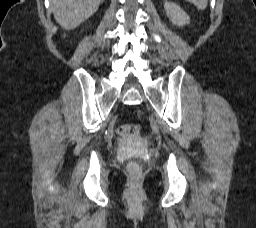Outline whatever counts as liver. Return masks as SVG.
Segmentation results:
<instances>
[{"label":"liver","mask_w":256,"mask_h":228,"mask_svg":"<svg viewBox=\"0 0 256 228\" xmlns=\"http://www.w3.org/2000/svg\"><path fill=\"white\" fill-rule=\"evenodd\" d=\"M103 0H51L57 23L72 30L91 17Z\"/></svg>","instance_id":"liver-1"}]
</instances>
